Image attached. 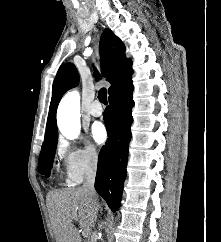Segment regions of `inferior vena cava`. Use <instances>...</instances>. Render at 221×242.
Instances as JSON below:
<instances>
[{
  "instance_id": "inferior-vena-cava-1",
  "label": "inferior vena cava",
  "mask_w": 221,
  "mask_h": 242,
  "mask_svg": "<svg viewBox=\"0 0 221 242\" xmlns=\"http://www.w3.org/2000/svg\"><path fill=\"white\" fill-rule=\"evenodd\" d=\"M96 170H97V164H96V161L94 160L86 168L85 181L82 185V190L87 192L91 197L97 196L94 188Z\"/></svg>"
}]
</instances>
